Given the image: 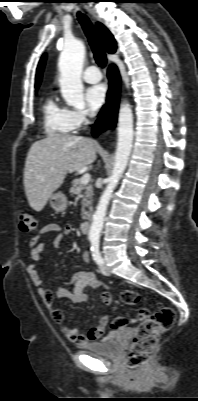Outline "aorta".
Segmentation results:
<instances>
[{"mask_svg": "<svg viewBox=\"0 0 198 401\" xmlns=\"http://www.w3.org/2000/svg\"><path fill=\"white\" fill-rule=\"evenodd\" d=\"M84 56L85 47L83 43L75 40L65 43L59 57L58 66L60 71L59 84L61 94L65 102L74 107H82L84 105L83 84L81 81ZM133 136L132 109L128 103H123L119 109L118 141L114 167L92 217L89 230L90 241L99 240L112 193L118 185L128 164L132 150Z\"/></svg>", "mask_w": 198, "mask_h": 401, "instance_id": "1", "label": "aorta"}]
</instances>
